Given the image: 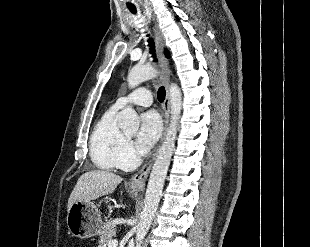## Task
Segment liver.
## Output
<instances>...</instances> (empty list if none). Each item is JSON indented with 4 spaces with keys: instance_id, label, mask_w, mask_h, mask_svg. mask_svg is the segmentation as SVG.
I'll return each instance as SVG.
<instances>
[{
    "instance_id": "1",
    "label": "liver",
    "mask_w": 310,
    "mask_h": 247,
    "mask_svg": "<svg viewBox=\"0 0 310 247\" xmlns=\"http://www.w3.org/2000/svg\"><path fill=\"white\" fill-rule=\"evenodd\" d=\"M122 178L112 172L91 170L82 174L68 199L67 209L77 201L90 202L114 192Z\"/></svg>"
}]
</instances>
